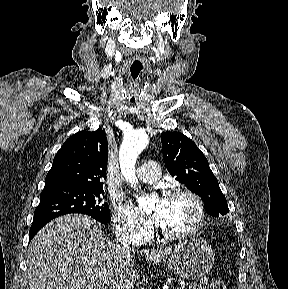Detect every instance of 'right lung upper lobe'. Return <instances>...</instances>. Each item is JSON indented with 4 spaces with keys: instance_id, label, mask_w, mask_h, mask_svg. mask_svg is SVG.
I'll list each match as a JSON object with an SVG mask.
<instances>
[{
    "instance_id": "obj_1",
    "label": "right lung upper lobe",
    "mask_w": 288,
    "mask_h": 289,
    "mask_svg": "<svg viewBox=\"0 0 288 289\" xmlns=\"http://www.w3.org/2000/svg\"><path fill=\"white\" fill-rule=\"evenodd\" d=\"M107 157L108 144L103 130L74 134L57 152L44 189L103 187L101 180L106 178Z\"/></svg>"
}]
</instances>
